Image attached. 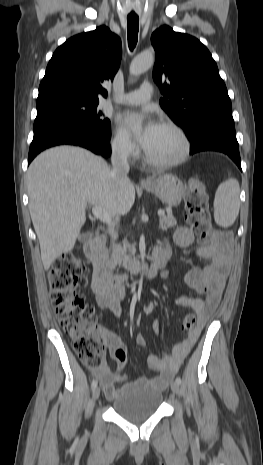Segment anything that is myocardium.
Instances as JSON below:
<instances>
[{"label": "myocardium", "mask_w": 263, "mask_h": 465, "mask_svg": "<svg viewBox=\"0 0 263 465\" xmlns=\"http://www.w3.org/2000/svg\"><path fill=\"white\" fill-rule=\"evenodd\" d=\"M160 126L173 130L181 140L182 148L180 154L171 160L159 161L151 157L146 151L144 153L145 161L153 167L167 169L183 163L190 154L191 143L185 130L175 122L164 121Z\"/></svg>", "instance_id": "myocardium-1"}]
</instances>
